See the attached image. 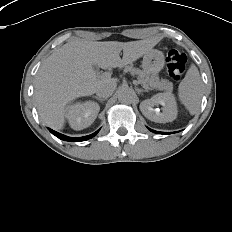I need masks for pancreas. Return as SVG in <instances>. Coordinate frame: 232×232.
I'll return each instance as SVG.
<instances>
[{"label":"pancreas","mask_w":232,"mask_h":232,"mask_svg":"<svg viewBox=\"0 0 232 232\" xmlns=\"http://www.w3.org/2000/svg\"><path fill=\"white\" fill-rule=\"evenodd\" d=\"M133 74H138L139 75V80L142 82L156 88L160 89H167L171 90L172 89V83L169 82L168 80L162 79L160 80L158 76L152 74L151 76L141 72L139 69H133L132 70Z\"/></svg>","instance_id":"cf45deb5"}]
</instances>
